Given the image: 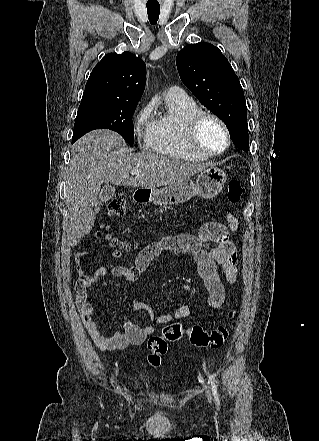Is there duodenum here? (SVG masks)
Returning a JSON list of instances; mask_svg holds the SVG:
<instances>
[{"instance_id": "obj_1", "label": "duodenum", "mask_w": 319, "mask_h": 441, "mask_svg": "<svg viewBox=\"0 0 319 441\" xmlns=\"http://www.w3.org/2000/svg\"><path fill=\"white\" fill-rule=\"evenodd\" d=\"M150 197V192L147 190H139L134 194V200L136 202H147Z\"/></svg>"}]
</instances>
